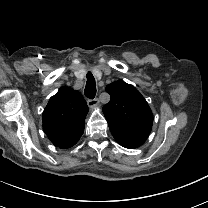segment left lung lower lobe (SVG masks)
Returning a JSON list of instances; mask_svg holds the SVG:
<instances>
[{"label": "left lung lower lobe", "mask_w": 208, "mask_h": 208, "mask_svg": "<svg viewBox=\"0 0 208 208\" xmlns=\"http://www.w3.org/2000/svg\"><path fill=\"white\" fill-rule=\"evenodd\" d=\"M110 131L116 141L123 147L133 149L141 146L146 139L148 138L150 133L146 131L143 132H133L129 130H124L120 128H116L113 126H109Z\"/></svg>", "instance_id": "left-lung-lower-lobe-1"}]
</instances>
